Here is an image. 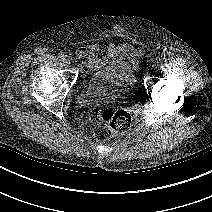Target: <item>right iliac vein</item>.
<instances>
[{
    "mask_svg": "<svg viewBox=\"0 0 212 212\" xmlns=\"http://www.w3.org/2000/svg\"><path fill=\"white\" fill-rule=\"evenodd\" d=\"M63 63H64V65L66 67H68L70 65V60L69 59H64Z\"/></svg>",
    "mask_w": 212,
    "mask_h": 212,
    "instance_id": "1",
    "label": "right iliac vein"
}]
</instances>
